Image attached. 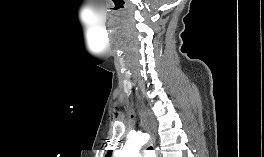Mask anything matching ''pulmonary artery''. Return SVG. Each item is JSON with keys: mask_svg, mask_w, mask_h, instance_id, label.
I'll use <instances>...</instances> for the list:
<instances>
[{"mask_svg": "<svg viewBox=\"0 0 264 157\" xmlns=\"http://www.w3.org/2000/svg\"><path fill=\"white\" fill-rule=\"evenodd\" d=\"M151 156H154V154L151 151H146L143 154V157H151Z\"/></svg>", "mask_w": 264, "mask_h": 157, "instance_id": "obj_1", "label": "pulmonary artery"}]
</instances>
